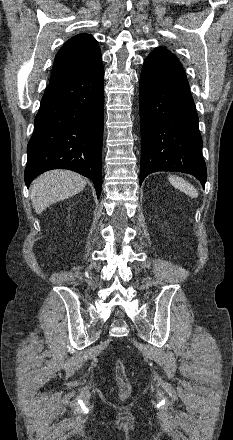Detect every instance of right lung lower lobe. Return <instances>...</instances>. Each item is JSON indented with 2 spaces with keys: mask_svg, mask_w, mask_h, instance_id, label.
<instances>
[{
  "mask_svg": "<svg viewBox=\"0 0 233 440\" xmlns=\"http://www.w3.org/2000/svg\"><path fill=\"white\" fill-rule=\"evenodd\" d=\"M104 69L67 82L49 84L27 147L25 183L50 169H70L102 188Z\"/></svg>",
  "mask_w": 233,
  "mask_h": 440,
  "instance_id": "right-lung-lower-lobe-1",
  "label": "right lung lower lobe"
}]
</instances>
